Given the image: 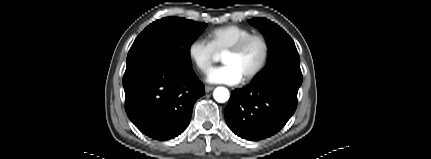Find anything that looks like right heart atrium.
Returning <instances> with one entry per match:
<instances>
[{"label": "right heart atrium", "instance_id": "right-heart-atrium-1", "mask_svg": "<svg viewBox=\"0 0 431 159\" xmlns=\"http://www.w3.org/2000/svg\"><path fill=\"white\" fill-rule=\"evenodd\" d=\"M187 54L190 61L202 73L209 71L217 55L211 43L200 37L189 43Z\"/></svg>", "mask_w": 431, "mask_h": 159}]
</instances>
